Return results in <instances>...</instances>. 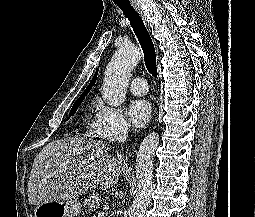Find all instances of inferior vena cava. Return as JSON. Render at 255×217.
Instances as JSON below:
<instances>
[{"label": "inferior vena cava", "mask_w": 255, "mask_h": 217, "mask_svg": "<svg viewBox=\"0 0 255 217\" xmlns=\"http://www.w3.org/2000/svg\"><path fill=\"white\" fill-rule=\"evenodd\" d=\"M128 136V130L127 128H122L117 136V140L119 142H124Z\"/></svg>", "instance_id": "602c4592"}]
</instances>
